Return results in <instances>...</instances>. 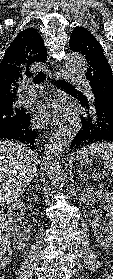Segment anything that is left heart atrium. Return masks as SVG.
I'll return each instance as SVG.
<instances>
[{
    "mask_svg": "<svg viewBox=\"0 0 113 279\" xmlns=\"http://www.w3.org/2000/svg\"><path fill=\"white\" fill-rule=\"evenodd\" d=\"M63 106L56 99H46L38 106L36 118L42 124H49L59 119L63 114Z\"/></svg>",
    "mask_w": 113,
    "mask_h": 279,
    "instance_id": "left-heart-atrium-1",
    "label": "left heart atrium"
}]
</instances>
